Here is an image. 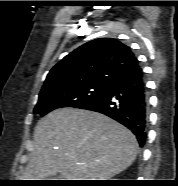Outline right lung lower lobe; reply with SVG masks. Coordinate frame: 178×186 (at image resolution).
<instances>
[{
	"label": "right lung lower lobe",
	"instance_id": "98d812e1",
	"mask_svg": "<svg viewBox=\"0 0 178 186\" xmlns=\"http://www.w3.org/2000/svg\"><path fill=\"white\" fill-rule=\"evenodd\" d=\"M78 108L99 112L113 118L136 135L140 146L144 145L148 97L141 68L134 73L117 78L100 95Z\"/></svg>",
	"mask_w": 178,
	"mask_h": 186
}]
</instances>
